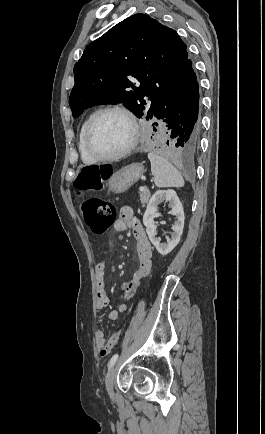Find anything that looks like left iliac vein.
<instances>
[{
    "label": "left iliac vein",
    "mask_w": 265,
    "mask_h": 434,
    "mask_svg": "<svg viewBox=\"0 0 265 434\" xmlns=\"http://www.w3.org/2000/svg\"><path fill=\"white\" fill-rule=\"evenodd\" d=\"M116 372H117V367L114 366L113 368L110 369V371L107 373L105 378L106 391L110 398H114L113 382H114Z\"/></svg>",
    "instance_id": "1"
}]
</instances>
